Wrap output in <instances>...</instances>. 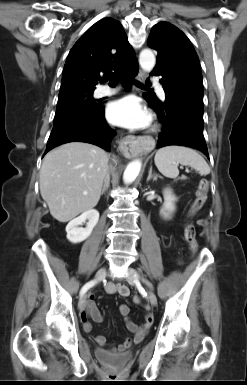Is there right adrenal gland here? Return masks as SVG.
Here are the masks:
<instances>
[{"label":"right adrenal gland","mask_w":247,"mask_h":385,"mask_svg":"<svg viewBox=\"0 0 247 385\" xmlns=\"http://www.w3.org/2000/svg\"><path fill=\"white\" fill-rule=\"evenodd\" d=\"M110 185V178H107L103 184L101 195L105 193V191L109 188Z\"/></svg>","instance_id":"obj_1"}]
</instances>
